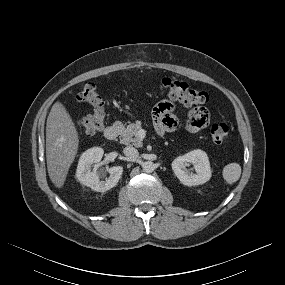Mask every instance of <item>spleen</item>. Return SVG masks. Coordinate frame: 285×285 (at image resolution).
Segmentation results:
<instances>
[{"instance_id": "spleen-1", "label": "spleen", "mask_w": 285, "mask_h": 285, "mask_svg": "<svg viewBox=\"0 0 285 285\" xmlns=\"http://www.w3.org/2000/svg\"><path fill=\"white\" fill-rule=\"evenodd\" d=\"M241 176V167L237 163H230L223 168V178L228 184H233Z\"/></svg>"}]
</instances>
